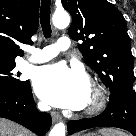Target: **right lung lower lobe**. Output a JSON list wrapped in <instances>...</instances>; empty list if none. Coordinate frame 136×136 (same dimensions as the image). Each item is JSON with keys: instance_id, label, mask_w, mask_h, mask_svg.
<instances>
[{"instance_id": "right-lung-lower-lobe-1", "label": "right lung lower lobe", "mask_w": 136, "mask_h": 136, "mask_svg": "<svg viewBox=\"0 0 136 136\" xmlns=\"http://www.w3.org/2000/svg\"><path fill=\"white\" fill-rule=\"evenodd\" d=\"M0 117L15 121L39 136L52 124L48 113H39L33 100L30 82L14 93L0 94Z\"/></svg>"}]
</instances>
